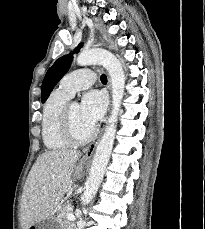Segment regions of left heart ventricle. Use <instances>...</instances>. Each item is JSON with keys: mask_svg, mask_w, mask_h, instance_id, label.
Listing matches in <instances>:
<instances>
[{"mask_svg": "<svg viewBox=\"0 0 205 229\" xmlns=\"http://www.w3.org/2000/svg\"><path fill=\"white\" fill-rule=\"evenodd\" d=\"M70 113L76 135L79 137L86 136L91 131L92 126L83 119L80 111V105L75 102L72 103Z\"/></svg>", "mask_w": 205, "mask_h": 229, "instance_id": "obj_1", "label": "left heart ventricle"}]
</instances>
